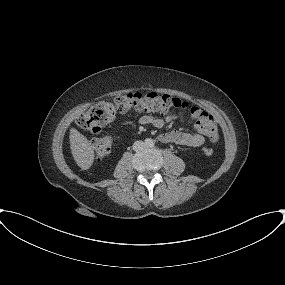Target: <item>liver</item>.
Returning <instances> with one entry per match:
<instances>
[{
  "mask_svg": "<svg viewBox=\"0 0 285 285\" xmlns=\"http://www.w3.org/2000/svg\"><path fill=\"white\" fill-rule=\"evenodd\" d=\"M70 148L77 165L83 169H89L94 162V150L89 140L77 129H70Z\"/></svg>",
  "mask_w": 285,
  "mask_h": 285,
  "instance_id": "6515ba94",
  "label": "liver"
}]
</instances>
